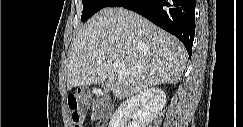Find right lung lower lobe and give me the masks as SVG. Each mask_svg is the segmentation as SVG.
<instances>
[{
	"label": "right lung lower lobe",
	"instance_id": "98d812e1",
	"mask_svg": "<svg viewBox=\"0 0 243 127\" xmlns=\"http://www.w3.org/2000/svg\"><path fill=\"white\" fill-rule=\"evenodd\" d=\"M195 0H114L108 7H124L175 35L189 57L195 34Z\"/></svg>",
	"mask_w": 243,
	"mask_h": 127
}]
</instances>
